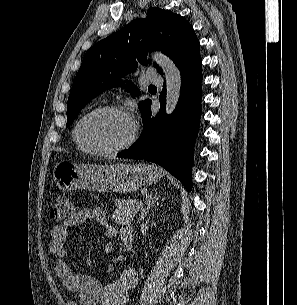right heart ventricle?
Returning <instances> with one entry per match:
<instances>
[{
  "label": "right heart ventricle",
  "instance_id": "right-heart-ventricle-1",
  "mask_svg": "<svg viewBox=\"0 0 297 305\" xmlns=\"http://www.w3.org/2000/svg\"><path fill=\"white\" fill-rule=\"evenodd\" d=\"M73 137H74V135H73ZM74 141H75V138H74ZM75 143H76V141H75ZM76 146H77V148H78L79 150H81L80 147L77 145V143H76ZM82 151H83V150H82Z\"/></svg>",
  "mask_w": 297,
  "mask_h": 305
}]
</instances>
